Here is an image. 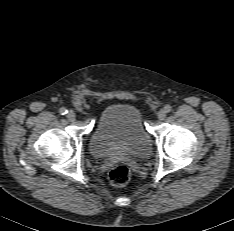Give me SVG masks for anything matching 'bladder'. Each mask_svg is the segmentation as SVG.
Instances as JSON below:
<instances>
[{"label": "bladder", "instance_id": "bladder-1", "mask_svg": "<svg viewBox=\"0 0 234 231\" xmlns=\"http://www.w3.org/2000/svg\"><path fill=\"white\" fill-rule=\"evenodd\" d=\"M90 150L96 158H147L152 138L144 126L141 110L125 102L109 106L90 136Z\"/></svg>", "mask_w": 234, "mask_h": 231}]
</instances>
